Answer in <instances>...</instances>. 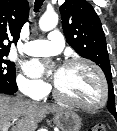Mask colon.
Segmentation results:
<instances>
[{
  "label": "colon",
  "mask_w": 117,
  "mask_h": 131,
  "mask_svg": "<svg viewBox=\"0 0 117 131\" xmlns=\"http://www.w3.org/2000/svg\"><path fill=\"white\" fill-rule=\"evenodd\" d=\"M88 131H106V127L103 124H95Z\"/></svg>",
  "instance_id": "colon-1"
}]
</instances>
